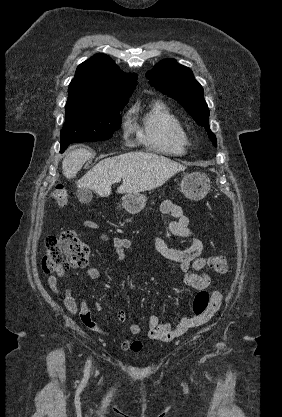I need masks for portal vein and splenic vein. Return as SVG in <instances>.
Returning a JSON list of instances; mask_svg holds the SVG:
<instances>
[{
  "instance_id": "1",
  "label": "portal vein and splenic vein",
  "mask_w": 282,
  "mask_h": 417,
  "mask_svg": "<svg viewBox=\"0 0 282 417\" xmlns=\"http://www.w3.org/2000/svg\"><path fill=\"white\" fill-rule=\"evenodd\" d=\"M121 178H115L114 182H120Z\"/></svg>"
}]
</instances>
